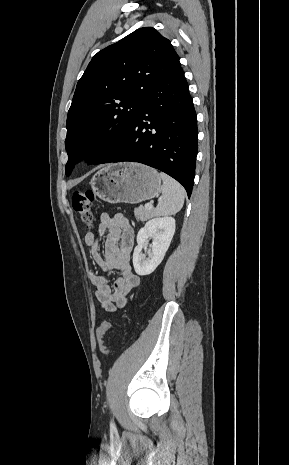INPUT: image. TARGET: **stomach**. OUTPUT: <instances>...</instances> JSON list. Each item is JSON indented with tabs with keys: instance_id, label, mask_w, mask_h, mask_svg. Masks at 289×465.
Returning a JSON list of instances; mask_svg holds the SVG:
<instances>
[{
	"instance_id": "obj_1",
	"label": "stomach",
	"mask_w": 289,
	"mask_h": 465,
	"mask_svg": "<svg viewBox=\"0 0 289 465\" xmlns=\"http://www.w3.org/2000/svg\"><path fill=\"white\" fill-rule=\"evenodd\" d=\"M93 192L108 203L137 204L158 195L159 173L139 163H116L100 169L91 179Z\"/></svg>"
}]
</instances>
